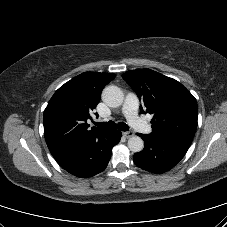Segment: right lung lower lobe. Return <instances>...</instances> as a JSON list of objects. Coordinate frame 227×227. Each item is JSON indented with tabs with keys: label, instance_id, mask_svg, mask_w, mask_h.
I'll return each mask as SVG.
<instances>
[{
	"label": "right lung lower lobe",
	"instance_id": "right-lung-lower-lobe-1",
	"mask_svg": "<svg viewBox=\"0 0 227 227\" xmlns=\"http://www.w3.org/2000/svg\"><path fill=\"white\" fill-rule=\"evenodd\" d=\"M121 136L118 130H104L49 150L64 170L74 176L87 178L106 168L112 147L119 143Z\"/></svg>",
	"mask_w": 227,
	"mask_h": 227
}]
</instances>
